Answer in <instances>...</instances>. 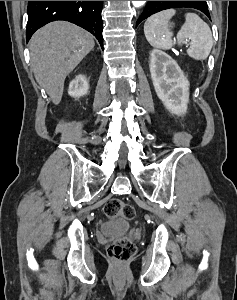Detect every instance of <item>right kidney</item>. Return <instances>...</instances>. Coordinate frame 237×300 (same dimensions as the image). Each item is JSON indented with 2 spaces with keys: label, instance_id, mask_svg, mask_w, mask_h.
Wrapping results in <instances>:
<instances>
[{
  "label": "right kidney",
  "instance_id": "ca27d5eb",
  "mask_svg": "<svg viewBox=\"0 0 237 300\" xmlns=\"http://www.w3.org/2000/svg\"><path fill=\"white\" fill-rule=\"evenodd\" d=\"M89 85L84 75H78L73 81H71L68 89V95L70 97H83L88 93Z\"/></svg>",
  "mask_w": 237,
  "mask_h": 300
}]
</instances>
